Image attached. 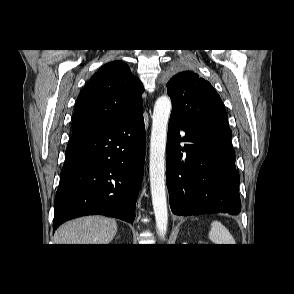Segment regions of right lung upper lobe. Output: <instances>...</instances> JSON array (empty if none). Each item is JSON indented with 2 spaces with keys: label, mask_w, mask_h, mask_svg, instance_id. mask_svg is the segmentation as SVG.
I'll return each instance as SVG.
<instances>
[{
  "label": "right lung upper lobe",
  "mask_w": 294,
  "mask_h": 294,
  "mask_svg": "<svg viewBox=\"0 0 294 294\" xmlns=\"http://www.w3.org/2000/svg\"><path fill=\"white\" fill-rule=\"evenodd\" d=\"M143 86L127 64L102 66L80 92L72 120V133L104 127L142 107Z\"/></svg>",
  "instance_id": "cb5924a9"
}]
</instances>
